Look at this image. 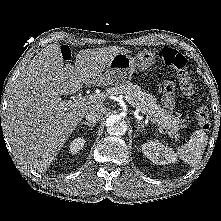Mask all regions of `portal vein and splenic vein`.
Listing matches in <instances>:
<instances>
[{
	"label": "portal vein and splenic vein",
	"instance_id": "1",
	"mask_svg": "<svg viewBox=\"0 0 221 221\" xmlns=\"http://www.w3.org/2000/svg\"><path fill=\"white\" fill-rule=\"evenodd\" d=\"M104 98H105V96H104L103 94L89 95V96H87V97H84V98H81L80 100L75 101V103L73 102V104H74V105H77V104L84 103V102H95V101H98V100H104ZM124 99H125L130 105H132L133 107H135V106H134L135 103H134L133 99H132L130 96L125 95V96H124ZM140 112H141L140 109H137V108H136V110L134 111V114L136 115V117H137L139 120L142 119V117L139 116V113H140ZM148 118H149V116L147 115V119H148Z\"/></svg>",
	"mask_w": 221,
	"mask_h": 221
}]
</instances>
